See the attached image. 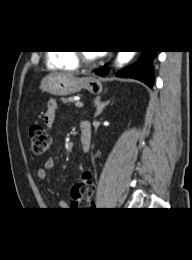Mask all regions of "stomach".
Segmentation results:
<instances>
[{
	"label": "stomach",
	"mask_w": 192,
	"mask_h": 260,
	"mask_svg": "<svg viewBox=\"0 0 192 260\" xmlns=\"http://www.w3.org/2000/svg\"><path fill=\"white\" fill-rule=\"evenodd\" d=\"M40 88L55 96L71 95L82 89H86L92 94H98L102 91V83L93 76L76 78L54 73L42 79Z\"/></svg>",
	"instance_id": "stomach-1"
}]
</instances>
